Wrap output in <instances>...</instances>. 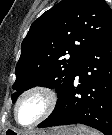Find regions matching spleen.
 <instances>
[{
  "instance_id": "obj_1",
  "label": "spleen",
  "mask_w": 112,
  "mask_h": 135,
  "mask_svg": "<svg viewBox=\"0 0 112 135\" xmlns=\"http://www.w3.org/2000/svg\"><path fill=\"white\" fill-rule=\"evenodd\" d=\"M84 135H102L101 133H99L96 130H86Z\"/></svg>"
}]
</instances>
